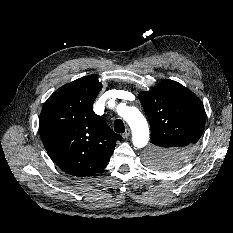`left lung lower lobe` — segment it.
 <instances>
[{
    "label": "left lung lower lobe",
    "mask_w": 233,
    "mask_h": 233,
    "mask_svg": "<svg viewBox=\"0 0 233 233\" xmlns=\"http://www.w3.org/2000/svg\"><path fill=\"white\" fill-rule=\"evenodd\" d=\"M158 144L163 145L168 150H176L183 144V141L178 138L159 139Z\"/></svg>",
    "instance_id": "obj_1"
}]
</instances>
